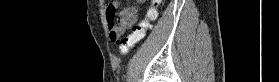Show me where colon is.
I'll list each match as a JSON object with an SVG mask.
<instances>
[{
  "mask_svg": "<svg viewBox=\"0 0 279 82\" xmlns=\"http://www.w3.org/2000/svg\"><path fill=\"white\" fill-rule=\"evenodd\" d=\"M159 2V0L151 1V6L147 10L144 19H142L139 23L133 25L132 32L128 36L120 38L119 51L121 52V54H127L130 50L135 48L138 43L145 37L150 22L157 17V10L155 6Z\"/></svg>",
  "mask_w": 279,
  "mask_h": 82,
  "instance_id": "1",
  "label": "colon"
}]
</instances>
